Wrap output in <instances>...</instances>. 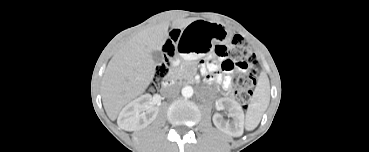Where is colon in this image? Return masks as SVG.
Returning a JSON list of instances; mask_svg holds the SVG:
<instances>
[{
	"label": "colon",
	"instance_id": "5ec220e1",
	"mask_svg": "<svg viewBox=\"0 0 369 152\" xmlns=\"http://www.w3.org/2000/svg\"><path fill=\"white\" fill-rule=\"evenodd\" d=\"M236 46V56L234 58H226L222 64V67L228 71H235L236 69H242L246 71L251 63H256L255 57L243 47L241 42H236ZM239 62H241L242 65ZM238 82L242 87L246 88L251 85L253 79L247 74H244L238 77Z\"/></svg>",
	"mask_w": 369,
	"mask_h": 152
}]
</instances>
